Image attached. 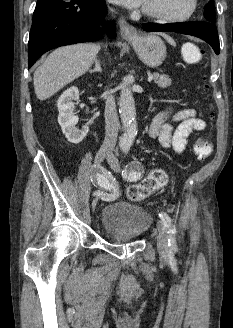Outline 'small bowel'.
Wrapping results in <instances>:
<instances>
[{
	"label": "small bowel",
	"instance_id": "small-bowel-1",
	"mask_svg": "<svg viewBox=\"0 0 233 328\" xmlns=\"http://www.w3.org/2000/svg\"><path fill=\"white\" fill-rule=\"evenodd\" d=\"M206 126V122L198 117L195 109L187 108L177 112L166 109L154 117L149 135L157 139L162 147L181 154L186 149L190 134L202 131Z\"/></svg>",
	"mask_w": 233,
	"mask_h": 328
}]
</instances>
